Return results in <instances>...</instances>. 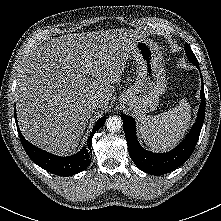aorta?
<instances>
[{"label":"aorta","mask_w":221,"mask_h":221,"mask_svg":"<svg viewBox=\"0 0 221 221\" xmlns=\"http://www.w3.org/2000/svg\"><path fill=\"white\" fill-rule=\"evenodd\" d=\"M106 128L110 132H118L122 128V120L118 116H110L106 120Z\"/></svg>","instance_id":"aorta-1"}]
</instances>
